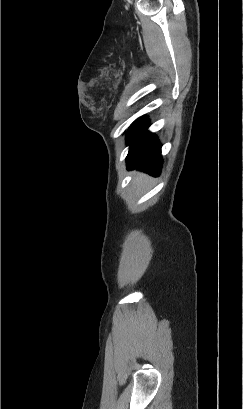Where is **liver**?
<instances>
[{
	"label": "liver",
	"mask_w": 243,
	"mask_h": 409,
	"mask_svg": "<svg viewBox=\"0 0 243 409\" xmlns=\"http://www.w3.org/2000/svg\"><path fill=\"white\" fill-rule=\"evenodd\" d=\"M145 178H146L145 175L137 173L135 178H134V182L137 183V184H140Z\"/></svg>",
	"instance_id": "1"
}]
</instances>
